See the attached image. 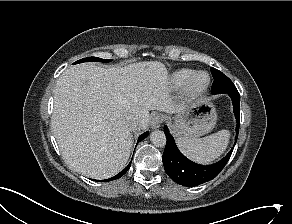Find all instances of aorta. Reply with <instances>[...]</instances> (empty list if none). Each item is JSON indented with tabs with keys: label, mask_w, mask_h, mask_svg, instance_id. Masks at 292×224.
<instances>
[{
	"label": "aorta",
	"mask_w": 292,
	"mask_h": 224,
	"mask_svg": "<svg viewBox=\"0 0 292 224\" xmlns=\"http://www.w3.org/2000/svg\"><path fill=\"white\" fill-rule=\"evenodd\" d=\"M150 140L156 147H164L166 145V135L160 130L153 131L150 134Z\"/></svg>",
	"instance_id": "obj_1"
}]
</instances>
